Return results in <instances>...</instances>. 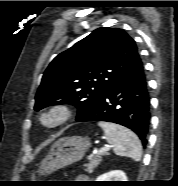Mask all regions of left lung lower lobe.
I'll return each instance as SVG.
<instances>
[{
    "instance_id": "0a47b994",
    "label": "left lung lower lobe",
    "mask_w": 178,
    "mask_h": 186,
    "mask_svg": "<svg viewBox=\"0 0 178 186\" xmlns=\"http://www.w3.org/2000/svg\"><path fill=\"white\" fill-rule=\"evenodd\" d=\"M78 122L106 121L134 131L143 145L150 124V98L143 63L121 76L99 104L76 119Z\"/></svg>"
}]
</instances>
